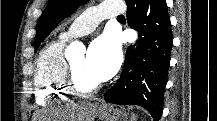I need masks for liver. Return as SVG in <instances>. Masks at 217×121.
<instances>
[{"mask_svg": "<svg viewBox=\"0 0 217 121\" xmlns=\"http://www.w3.org/2000/svg\"><path fill=\"white\" fill-rule=\"evenodd\" d=\"M96 105L88 104L85 106L72 105L64 110L51 112L47 116H56L69 121H94V112ZM50 118V117H48ZM43 116V119H48Z\"/></svg>", "mask_w": 217, "mask_h": 121, "instance_id": "obj_1", "label": "liver"}]
</instances>
